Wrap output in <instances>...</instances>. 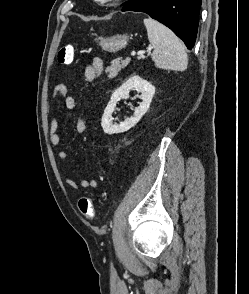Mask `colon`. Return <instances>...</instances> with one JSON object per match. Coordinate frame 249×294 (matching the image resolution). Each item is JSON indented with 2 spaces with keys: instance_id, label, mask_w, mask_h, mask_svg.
Returning <instances> with one entry per match:
<instances>
[{
  "instance_id": "colon-1",
  "label": "colon",
  "mask_w": 249,
  "mask_h": 294,
  "mask_svg": "<svg viewBox=\"0 0 249 294\" xmlns=\"http://www.w3.org/2000/svg\"><path fill=\"white\" fill-rule=\"evenodd\" d=\"M74 60V47L71 45L62 46L58 52V62L62 65H70ZM80 213L86 219H93L95 210L92 200L87 196H81L78 200Z\"/></svg>"
}]
</instances>
